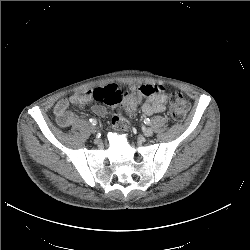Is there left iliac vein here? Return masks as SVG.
I'll return each instance as SVG.
<instances>
[{"mask_svg": "<svg viewBox=\"0 0 250 250\" xmlns=\"http://www.w3.org/2000/svg\"><path fill=\"white\" fill-rule=\"evenodd\" d=\"M143 134L144 136L146 137H150L153 135V130L151 128H146L144 131H143Z\"/></svg>", "mask_w": 250, "mask_h": 250, "instance_id": "left-iliac-vein-1", "label": "left iliac vein"}]
</instances>
